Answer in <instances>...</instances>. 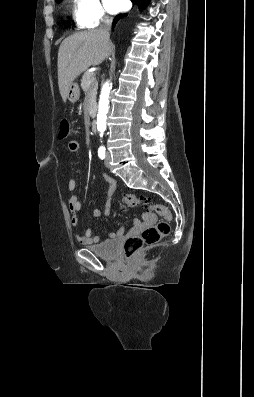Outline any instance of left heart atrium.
<instances>
[{
  "instance_id": "1",
  "label": "left heart atrium",
  "mask_w": 254,
  "mask_h": 397,
  "mask_svg": "<svg viewBox=\"0 0 254 397\" xmlns=\"http://www.w3.org/2000/svg\"><path fill=\"white\" fill-rule=\"evenodd\" d=\"M127 0H104L105 6L111 13H117L124 9Z\"/></svg>"
}]
</instances>
